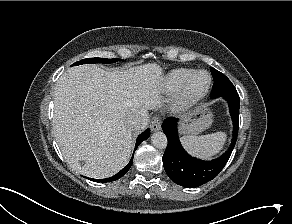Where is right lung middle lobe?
Segmentation results:
<instances>
[{
  "mask_svg": "<svg viewBox=\"0 0 292 224\" xmlns=\"http://www.w3.org/2000/svg\"><path fill=\"white\" fill-rule=\"evenodd\" d=\"M119 59H104V58H88L80 60L74 63L72 66L80 65V64H87V63H103V64H110L117 62Z\"/></svg>",
  "mask_w": 292,
  "mask_h": 224,
  "instance_id": "obj_1",
  "label": "right lung middle lobe"
}]
</instances>
